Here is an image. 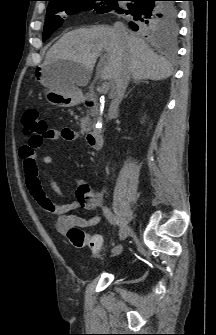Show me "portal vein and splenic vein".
<instances>
[{"label":"portal vein and splenic vein","mask_w":216,"mask_h":335,"mask_svg":"<svg viewBox=\"0 0 216 335\" xmlns=\"http://www.w3.org/2000/svg\"><path fill=\"white\" fill-rule=\"evenodd\" d=\"M109 88H110V82H104L99 92L102 94H106L109 91Z\"/></svg>","instance_id":"obj_1"}]
</instances>
